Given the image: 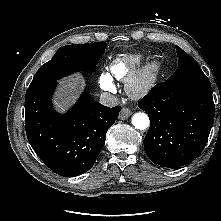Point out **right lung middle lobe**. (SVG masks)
Wrapping results in <instances>:
<instances>
[{
	"instance_id": "1",
	"label": "right lung middle lobe",
	"mask_w": 221,
	"mask_h": 221,
	"mask_svg": "<svg viewBox=\"0 0 221 221\" xmlns=\"http://www.w3.org/2000/svg\"><path fill=\"white\" fill-rule=\"evenodd\" d=\"M106 43L63 46L35 74L30 87L54 82L75 71L92 69L105 51Z\"/></svg>"
}]
</instances>
